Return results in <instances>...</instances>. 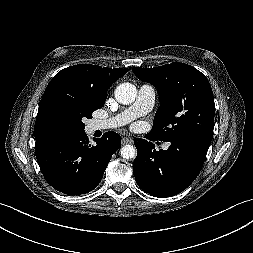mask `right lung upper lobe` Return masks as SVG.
<instances>
[{"mask_svg":"<svg viewBox=\"0 0 253 253\" xmlns=\"http://www.w3.org/2000/svg\"><path fill=\"white\" fill-rule=\"evenodd\" d=\"M128 69H111L97 65L80 64L58 72L48 84L45 92L55 87L82 89L96 96L106 97L108 88L121 78ZM35 138L38 135L34 134Z\"/></svg>","mask_w":253,"mask_h":253,"instance_id":"cb5924a9","label":"right lung upper lobe"}]
</instances>
